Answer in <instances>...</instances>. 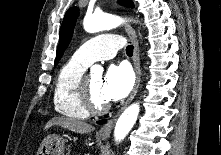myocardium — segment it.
I'll return each instance as SVG.
<instances>
[{
    "label": "myocardium",
    "instance_id": "1",
    "mask_svg": "<svg viewBox=\"0 0 221 155\" xmlns=\"http://www.w3.org/2000/svg\"><path fill=\"white\" fill-rule=\"evenodd\" d=\"M78 95L82 106L89 114H103L110 108V104L108 102L104 104H98L94 100L88 82V75L82 76L78 87Z\"/></svg>",
    "mask_w": 221,
    "mask_h": 155
}]
</instances>
